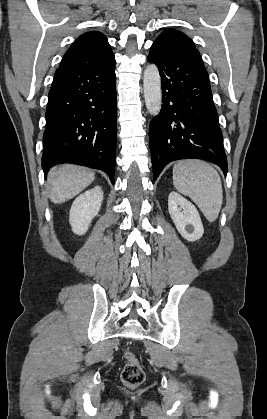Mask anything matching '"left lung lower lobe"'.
<instances>
[{
  "label": "left lung lower lobe",
  "instance_id": "left-lung-lower-lobe-1",
  "mask_svg": "<svg viewBox=\"0 0 267 419\" xmlns=\"http://www.w3.org/2000/svg\"><path fill=\"white\" fill-rule=\"evenodd\" d=\"M159 67L162 107L149 127L154 180L174 160L196 158L227 173L223 136L208 73L196 58L152 45L147 57Z\"/></svg>",
  "mask_w": 267,
  "mask_h": 419
}]
</instances>
